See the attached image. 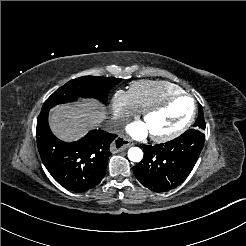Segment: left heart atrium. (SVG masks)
<instances>
[{
  "instance_id": "left-heart-atrium-1",
  "label": "left heart atrium",
  "mask_w": 246,
  "mask_h": 246,
  "mask_svg": "<svg viewBox=\"0 0 246 246\" xmlns=\"http://www.w3.org/2000/svg\"><path fill=\"white\" fill-rule=\"evenodd\" d=\"M126 131L136 139H143L148 133L145 125L138 122L129 123L126 126Z\"/></svg>"
}]
</instances>
